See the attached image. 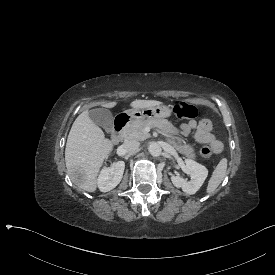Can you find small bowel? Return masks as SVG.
I'll list each match as a JSON object with an SVG mask.
<instances>
[{"mask_svg":"<svg viewBox=\"0 0 275 275\" xmlns=\"http://www.w3.org/2000/svg\"><path fill=\"white\" fill-rule=\"evenodd\" d=\"M212 125L208 119H203L200 122L190 121L181 125V130L184 134L195 131V139L198 143L209 144L215 153H220L223 149V144L211 132Z\"/></svg>","mask_w":275,"mask_h":275,"instance_id":"small-bowel-1","label":"small bowel"}]
</instances>
